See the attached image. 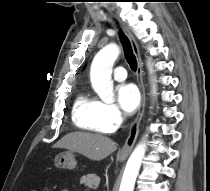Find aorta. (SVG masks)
Instances as JSON below:
<instances>
[{"instance_id": "obj_1", "label": "aorta", "mask_w": 210, "mask_h": 191, "mask_svg": "<svg viewBox=\"0 0 210 191\" xmlns=\"http://www.w3.org/2000/svg\"><path fill=\"white\" fill-rule=\"evenodd\" d=\"M120 53V48L116 44H109L101 49L94 57L90 79L92 87L102 101L106 103L113 102L114 91L111 73L113 64ZM152 72L151 67L149 68ZM155 93V86L153 89ZM146 152V141L140 142L132 152L126 164L119 191H133L136 177L139 173L142 159Z\"/></svg>"}]
</instances>
